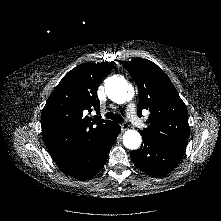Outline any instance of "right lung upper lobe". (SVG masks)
<instances>
[{
	"mask_svg": "<svg viewBox=\"0 0 221 221\" xmlns=\"http://www.w3.org/2000/svg\"><path fill=\"white\" fill-rule=\"evenodd\" d=\"M114 62L85 63L69 71L49 96L42 110V136L53 160L63 163L76 157L115 124L98 116L97 89Z\"/></svg>",
	"mask_w": 221,
	"mask_h": 221,
	"instance_id": "right-lung-upper-lobe-1",
	"label": "right lung upper lobe"
}]
</instances>
